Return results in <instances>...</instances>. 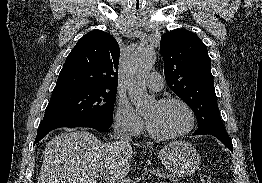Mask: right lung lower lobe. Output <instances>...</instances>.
I'll list each match as a JSON object with an SVG mask.
<instances>
[{
	"label": "right lung lower lobe",
	"mask_w": 262,
	"mask_h": 183,
	"mask_svg": "<svg viewBox=\"0 0 262 183\" xmlns=\"http://www.w3.org/2000/svg\"><path fill=\"white\" fill-rule=\"evenodd\" d=\"M113 120H86V119H68L58 118L42 121L39 125L35 143L40 141L48 132L60 127H90L100 132H105L111 125Z\"/></svg>",
	"instance_id": "1"
}]
</instances>
